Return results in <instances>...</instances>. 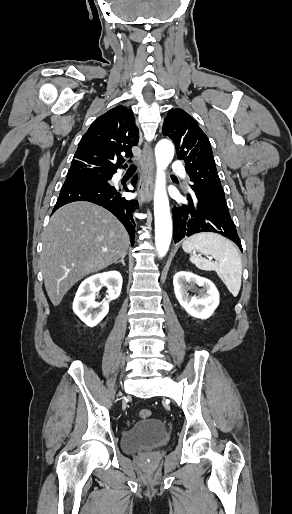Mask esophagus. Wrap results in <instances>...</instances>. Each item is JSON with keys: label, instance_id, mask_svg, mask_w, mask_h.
I'll list each match as a JSON object with an SVG mask.
<instances>
[{"label": "esophagus", "instance_id": "34e87169", "mask_svg": "<svg viewBox=\"0 0 292 514\" xmlns=\"http://www.w3.org/2000/svg\"><path fill=\"white\" fill-rule=\"evenodd\" d=\"M144 165V174L138 185V200L140 205L148 203L153 197L155 161L153 157L152 147L145 143L142 152Z\"/></svg>", "mask_w": 292, "mask_h": 514}]
</instances>
